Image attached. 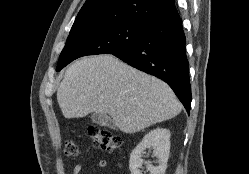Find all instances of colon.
Instances as JSON below:
<instances>
[{
	"mask_svg": "<svg viewBox=\"0 0 249 174\" xmlns=\"http://www.w3.org/2000/svg\"><path fill=\"white\" fill-rule=\"evenodd\" d=\"M87 136L92 141L94 147L109 152H114L120 149L122 145L120 136L97 126H90L87 129ZM64 153L67 156H78L80 153L79 147L72 139H66L64 141Z\"/></svg>",
	"mask_w": 249,
	"mask_h": 174,
	"instance_id": "colon-1",
	"label": "colon"
}]
</instances>
